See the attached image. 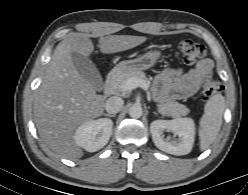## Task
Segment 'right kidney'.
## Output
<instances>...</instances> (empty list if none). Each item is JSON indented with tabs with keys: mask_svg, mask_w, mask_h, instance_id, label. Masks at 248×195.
Wrapping results in <instances>:
<instances>
[{
	"mask_svg": "<svg viewBox=\"0 0 248 195\" xmlns=\"http://www.w3.org/2000/svg\"><path fill=\"white\" fill-rule=\"evenodd\" d=\"M113 122L111 119L100 118L81 124L74 135L75 143L88 152L103 148L112 135Z\"/></svg>",
	"mask_w": 248,
	"mask_h": 195,
	"instance_id": "right-kidney-1",
	"label": "right kidney"
}]
</instances>
